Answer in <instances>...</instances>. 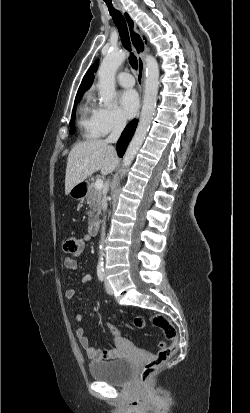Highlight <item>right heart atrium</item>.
<instances>
[{
  "label": "right heart atrium",
  "instance_id": "obj_1",
  "mask_svg": "<svg viewBox=\"0 0 250 413\" xmlns=\"http://www.w3.org/2000/svg\"><path fill=\"white\" fill-rule=\"evenodd\" d=\"M96 125L100 136L120 132L126 126V118L116 106H98L96 108Z\"/></svg>",
  "mask_w": 250,
  "mask_h": 413
}]
</instances>
